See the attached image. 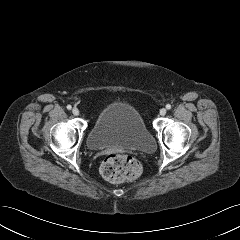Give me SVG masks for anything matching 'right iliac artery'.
Returning a JSON list of instances; mask_svg holds the SVG:
<instances>
[{"label":"right iliac artery","instance_id":"right-iliac-artery-1","mask_svg":"<svg viewBox=\"0 0 240 240\" xmlns=\"http://www.w3.org/2000/svg\"><path fill=\"white\" fill-rule=\"evenodd\" d=\"M67 109H68V110H71V109H72V106H71V105H67Z\"/></svg>","mask_w":240,"mask_h":240}]
</instances>
